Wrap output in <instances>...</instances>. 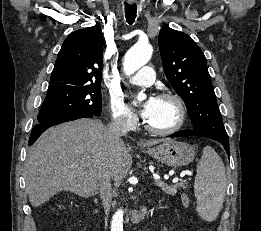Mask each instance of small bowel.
Masks as SVG:
<instances>
[{
  "mask_svg": "<svg viewBox=\"0 0 261 231\" xmlns=\"http://www.w3.org/2000/svg\"><path fill=\"white\" fill-rule=\"evenodd\" d=\"M185 201H188V197H185Z\"/></svg>",
  "mask_w": 261,
  "mask_h": 231,
  "instance_id": "obj_1",
  "label": "small bowel"
}]
</instances>
